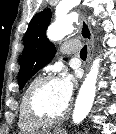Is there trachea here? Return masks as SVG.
Segmentation results:
<instances>
[{"label": "trachea", "instance_id": "trachea-1", "mask_svg": "<svg viewBox=\"0 0 116 134\" xmlns=\"http://www.w3.org/2000/svg\"><path fill=\"white\" fill-rule=\"evenodd\" d=\"M80 57L86 58L87 57V46H84L80 51Z\"/></svg>", "mask_w": 116, "mask_h": 134}]
</instances>
